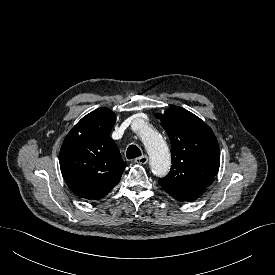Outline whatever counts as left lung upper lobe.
<instances>
[{
    "label": "left lung upper lobe",
    "instance_id": "left-lung-upper-lobe-1",
    "mask_svg": "<svg viewBox=\"0 0 275 275\" xmlns=\"http://www.w3.org/2000/svg\"><path fill=\"white\" fill-rule=\"evenodd\" d=\"M155 117L169 136L172 157L171 170L159 184L178 201L196 200L218 173L217 139L204 121L181 107H170Z\"/></svg>",
    "mask_w": 275,
    "mask_h": 275
}]
</instances>
